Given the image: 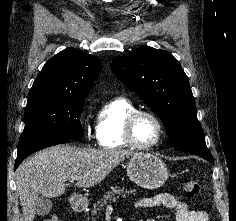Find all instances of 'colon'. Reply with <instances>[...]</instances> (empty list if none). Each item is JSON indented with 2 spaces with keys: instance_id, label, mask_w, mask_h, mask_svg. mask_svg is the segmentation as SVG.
<instances>
[{
  "instance_id": "colon-1",
  "label": "colon",
  "mask_w": 236,
  "mask_h": 221,
  "mask_svg": "<svg viewBox=\"0 0 236 221\" xmlns=\"http://www.w3.org/2000/svg\"><path fill=\"white\" fill-rule=\"evenodd\" d=\"M184 192L188 198H194L200 193V184L194 179H187L184 182ZM42 221H60L56 216H49Z\"/></svg>"
}]
</instances>
